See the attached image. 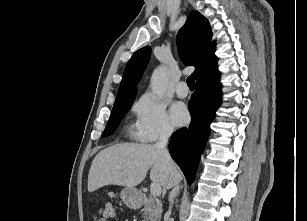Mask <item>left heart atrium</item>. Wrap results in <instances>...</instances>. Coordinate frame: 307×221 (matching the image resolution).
<instances>
[{
	"label": "left heart atrium",
	"instance_id": "obj_1",
	"mask_svg": "<svg viewBox=\"0 0 307 221\" xmlns=\"http://www.w3.org/2000/svg\"><path fill=\"white\" fill-rule=\"evenodd\" d=\"M171 117L176 126H182L189 120V113L186 106L181 102H176L170 109Z\"/></svg>",
	"mask_w": 307,
	"mask_h": 221
}]
</instances>
